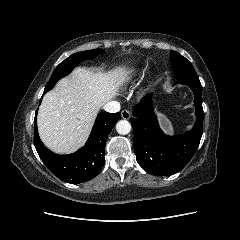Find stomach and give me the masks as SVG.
<instances>
[{"instance_id":"0dacf381","label":"stomach","mask_w":240,"mask_h":240,"mask_svg":"<svg viewBox=\"0 0 240 240\" xmlns=\"http://www.w3.org/2000/svg\"><path fill=\"white\" fill-rule=\"evenodd\" d=\"M160 121H161L163 129L166 132H168V133H172L173 132L172 125H171L170 121L165 116L160 115Z\"/></svg>"}]
</instances>
